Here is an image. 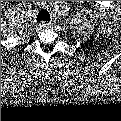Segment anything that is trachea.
<instances>
[{"instance_id":"trachea-1","label":"trachea","mask_w":121,"mask_h":121,"mask_svg":"<svg viewBox=\"0 0 121 121\" xmlns=\"http://www.w3.org/2000/svg\"><path fill=\"white\" fill-rule=\"evenodd\" d=\"M37 21H50V15L47 10H41L37 15Z\"/></svg>"}]
</instances>
